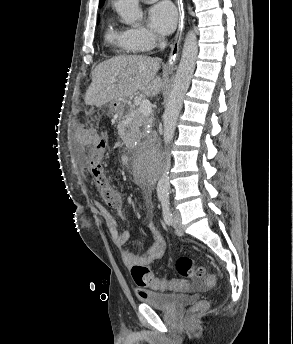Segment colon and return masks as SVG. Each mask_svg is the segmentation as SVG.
<instances>
[{
  "mask_svg": "<svg viewBox=\"0 0 293 344\" xmlns=\"http://www.w3.org/2000/svg\"><path fill=\"white\" fill-rule=\"evenodd\" d=\"M106 150V141L103 138H99L95 141L93 149L90 154L89 166L93 173L95 183L99 190V193L105 203L111 207L117 208L122 203L120 193L108 180L103 169V157ZM175 268L177 273L183 277L192 279L195 283L199 279L207 278L208 282H213L214 277L206 274L205 268L202 265L196 263L189 257H180L175 262ZM131 277L139 288H152L160 290H182L189 287L188 283L182 279L167 280L157 278L149 267L145 265H134L131 267ZM209 306L208 301L202 300L197 302L193 308L192 313L197 314L205 311Z\"/></svg>",
  "mask_w": 293,
  "mask_h": 344,
  "instance_id": "5ec220e1",
  "label": "colon"
}]
</instances>
